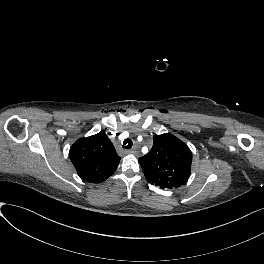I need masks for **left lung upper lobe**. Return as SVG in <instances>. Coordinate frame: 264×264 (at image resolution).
<instances>
[{
	"mask_svg": "<svg viewBox=\"0 0 264 264\" xmlns=\"http://www.w3.org/2000/svg\"><path fill=\"white\" fill-rule=\"evenodd\" d=\"M153 142L149 153L139 158L147 181L163 189L183 185L191 174L189 147L171 134L154 135Z\"/></svg>",
	"mask_w": 264,
	"mask_h": 264,
	"instance_id": "1",
	"label": "left lung upper lobe"
}]
</instances>
